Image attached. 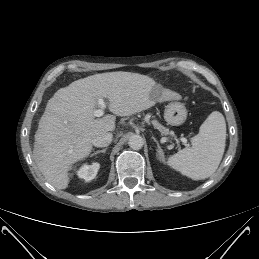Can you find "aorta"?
I'll return each mask as SVG.
<instances>
[{"label":"aorta","instance_id":"1","mask_svg":"<svg viewBox=\"0 0 259 259\" xmlns=\"http://www.w3.org/2000/svg\"><path fill=\"white\" fill-rule=\"evenodd\" d=\"M129 147L133 150H139L144 145V139L140 135H132L128 141Z\"/></svg>","mask_w":259,"mask_h":259}]
</instances>
